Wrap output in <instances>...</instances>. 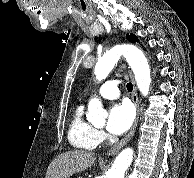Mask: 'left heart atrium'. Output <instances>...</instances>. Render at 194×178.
Listing matches in <instances>:
<instances>
[{"label":"left heart atrium","mask_w":194,"mask_h":178,"mask_svg":"<svg viewBox=\"0 0 194 178\" xmlns=\"http://www.w3.org/2000/svg\"><path fill=\"white\" fill-rule=\"evenodd\" d=\"M133 119L134 111L130 104H115L109 111L106 128L111 134L121 135L130 128Z\"/></svg>","instance_id":"left-heart-atrium-1"}]
</instances>
